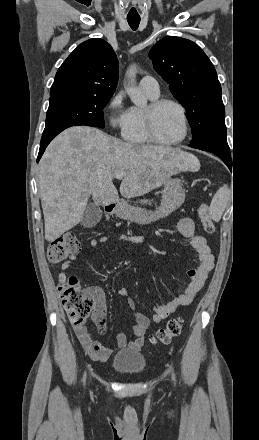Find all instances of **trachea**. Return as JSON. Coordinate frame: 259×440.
Returning a JSON list of instances; mask_svg holds the SVG:
<instances>
[{
  "mask_svg": "<svg viewBox=\"0 0 259 440\" xmlns=\"http://www.w3.org/2000/svg\"><path fill=\"white\" fill-rule=\"evenodd\" d=\"M127 21H128V24L130 25V27L133 30H136L139 26L140 18H129V19H127Z\"/></svg>",
  "mask_w": 259,
  "mask_h": 440,
  "instance_id": "3493384b",
  "label": "trachea"
}]
</instances>
